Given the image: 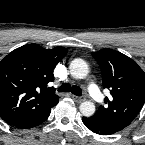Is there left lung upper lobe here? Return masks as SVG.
Returning a JSON list of instances; mask_svg holds the SVG:
<instances>
[{
  "mask_svg": "<svg viewBox=\"0 0 145 145\" xmlns=\"http://www.w3.org/2000/svg\"><path fill=\"white\" fill-rule=\"evenodd\" d=\"M101 72L104 88L111 97L105 98L92 116L102 125L118 132L138 115L145 102V73L128 56L111 49L92 52Z\"/></svg>",
  "mask_w": 145,
  "mask_h": 145,
  "instance_id": "1",
  "label": "left lung upper lobe"
}]
</instances>
